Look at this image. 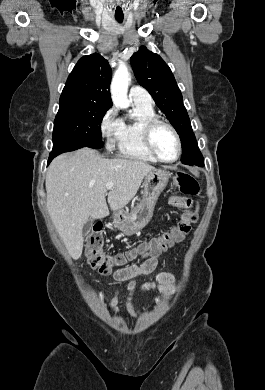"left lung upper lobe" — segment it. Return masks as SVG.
<instances>
[{"instance_id":"left-lung-upper-lobe-1","label":"left lung upper lobe","mask_w":265,"mask_h":390,"mask_svg":"<svg viewBox=\"0 0 265 390\" xmlns=\"http://www.w3.org/2000/svg\"><path fill=\"white\" fill-rule=\"evenodd\" d=\"M130 61L137 81L150 93L179 134L182 142L181 162L199 166L203 162V156L183 104L181 91L169 66L158 54L144 46L132 55Z\"/></svg>"}]
</instances>
